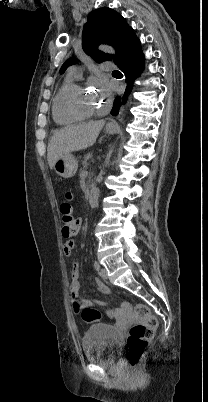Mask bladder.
Segmentation results:
<instances>
[{
	"instance_id": "obj_1",
	"label": "bladder",
	"mask_w": 208,
	"mask_h": 402,
	"mask_svg": "<svg viewBox=\"0 0 208 402\" xmlns=\"http://www.w3.org/2000/svg\"><path fill=\"white\" fill-rule=\"evenodd\" d=\"M121 336L112 325L96 323L88 327L83 341L85 359L108 366L115 362Z\"/></svg>"
}]
</instances>
